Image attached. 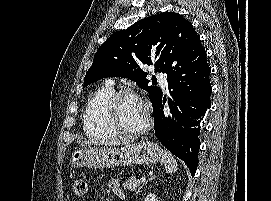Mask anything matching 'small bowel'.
I'll return each mask as SVG.
<instances>
[{"instance_id": "obj_1", "label": "small bowel", "mask_w": 271, "mask_h": 201, "mask_svg": "<svg viewBox=\"0 0 271 201\" xmlns=\"http://www.w3.org/2000/svg\"><path fill=\"white\" fill-rule=\"evenodd\" d=\"M109 188L111 192L118 196V197H124L123 189L121 187V183L118 179L114 178L109 182Z\"/></svg>"}]
</instances>
